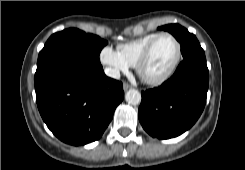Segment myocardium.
I'll use <instances>...</instances> for the list:
<instances>
[{
  "instance_id": "myocardium-1",
  "label": "myocardium",
  "mask_w": 245,
  "mask_h": 170,
  "mask_svg": "<svg viewBox=\"0 0 245 170\" xmlns=\"http://www.w3.org/2000/svg\"><path fill=\"white\" fill-rule=\"evenodd\" d=\"M170 37L173 39V41L176 44L177 47V52H176V56L172 62V64L170 65V67L159 77L156 78H150L147 77L144 73H143V66L146 63V61L148 60V58L150 57V54L155 46V44L158 42V40L162 37ZM181 44L179 42V40L176 38L175 35L169 33V32H162L159 33L155 38H153L148 45L145 47V49L143 50V52L140 54V56L137 59L136 62V71L139 75V77L147 84L149 85H161L162 83L166 82L168 79H170V77L174 74V72L176 71L180 60H181Z\"/></svg>"
}]
</instances>
